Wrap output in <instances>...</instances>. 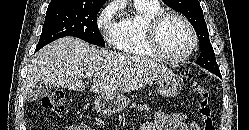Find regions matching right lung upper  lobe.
Instances as JSON below:
<instances>
[{
    "mask_svg": "<svg viewBox=\"0 0 249 130\" xmlns=\"http://www.w3.org/2000/svg\"><path fill=\"white\" fill-rule=\"evenodd\" d=\"M106 0H51L49 5L56 3H73L79 5H104Z\"/></svg>",
    "mask_w": 249,
    "mask_h": 130,
    "instance_id": "right-lung-upper-lobe-1",
    "label": "right lung upper lobe"
}]
</instances>
